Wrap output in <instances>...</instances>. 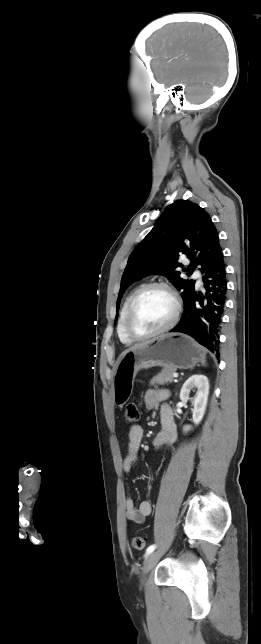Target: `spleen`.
Instances as JSON below:
<instances>
[{
	"mask_svg": "<svg viewBox=\"0 0 261 644\" xmlns=\"http://www.w3.org/2000/svg\"><path fill=\"white\" fill-rule=\"evenodd\" d=\"M202 364H203V365L205 364V360H202Z\"/></svg>",
	"mask_w": 261,
	"mask_h": 644,
	"instance_id": "obj_1",
	"label": "spleen"
}]
</instances>
